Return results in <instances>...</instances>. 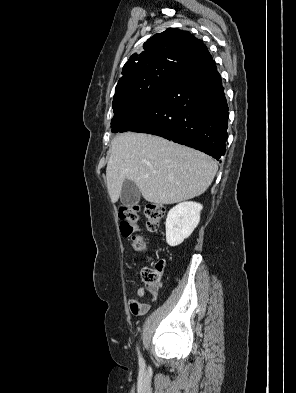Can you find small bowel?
<instances>
[{
	"mask_svg": "<svg viewBox=\"0 0 296 393\" xmlns=\"http://www.w3.org/2000/svg\"><path fill=\"white\" fill-rule=\"evenodd\" d=\"M151 292L154 295V297H156L159 292V288L156 289L155 291H151ZM145 293H146L145 288L139 287L137 289L138 299H134V298L129 299L128 306H129V310L132 314L144 315L149 311V309L151 307V303L146 302V301H142V298L145 296Z\"/></svg>",
	"mask_w": 296,
	"mask_h": 393,
	"instance_id": "1",
	"label": "small bowel"
}]
</instances>
